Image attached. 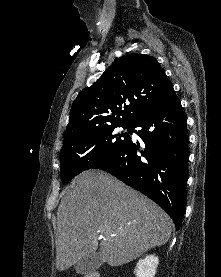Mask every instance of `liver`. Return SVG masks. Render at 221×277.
I'll return each mask as SVG.
<instances>
[{
  "label": "liver",
  "instance_id": "liver-1",
  "mask_svg": "<svg viewBox=\"0 0 221 277\" xmlns=\"http://www.w3.org/2000/svg\"><path fill=\"white\" fill-rule=\"evenodd\" d=\"M171 218L152 200L101 170L78 175L57 210L56 267L75 265L95 252L120 266L168 242Z\"/></svg>",
  "mask_w": 221,
  "mask_h": 277
}]
</instances>
